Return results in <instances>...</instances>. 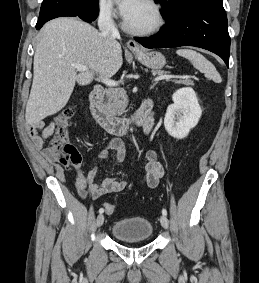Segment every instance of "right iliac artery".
Wrapping results in <instances>:
<instances>
[{
	"instance_id": "1",
	"label": "right iliac artery",
	"mask_w": 259,
	"mask_h": 283,
	"mask_svg": "<svg viewBox=\"0 0 259 283\" xmlns=\"http://www.w3.org/2000/svg\"><path fill=\"white\" fill-rule=\"evenodd\" d=\"M103 212H104L103 208H100L99 213H103Z\"/></svg>"
}]
</instances>
